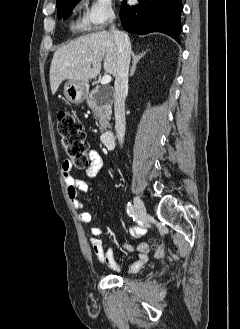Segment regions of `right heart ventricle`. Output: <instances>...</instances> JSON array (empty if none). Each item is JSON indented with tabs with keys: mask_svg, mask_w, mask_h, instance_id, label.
<instances>
[{
	"mask_svg": "<svg viewBox=\"0 0 240 329\" xmlns=\"http://www.w3.org/2000/svg\"><path fill=\"white\" fill-rule=\"evenodd\" d=\"M74 26H75L76 28H81L83 25L80 24V23H78V22H76V23L74 24Z\"/></svg>",
	"mask_w": 240,
	"mask_h": 329,
	"instance_id": "obj_1",
	"label": "right heart ventricle"
}]
</instances>
